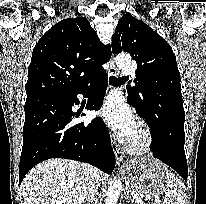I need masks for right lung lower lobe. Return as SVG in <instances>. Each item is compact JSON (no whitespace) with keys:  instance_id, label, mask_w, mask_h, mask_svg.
Returning a JSON list of instances; mask_svg holds the SVG:
<instances>
[{"instance_id":"98d812e1","label":"right lung lower lobe","mask_w":206,"mask_h":204,"mask_svg":"<svg viewBox=\"0 0 206 204\" xmlns=\"http://www.w3.org/2000/svg\"><path fill=\"white\" fill-rule=\"evenodd\" d=\"M88 84L72 92H46L27 97L19 183L32 167L49 158L87 162L112 173L115 155L103 120L96 117L87 125L75 123L80 114L73 113L72 107L79 104L78 94L86 95L93 89L86 108L100 109L108 84L106 71L98 73Z\"/></svg>"}]
</instances>
